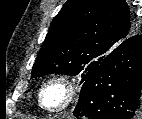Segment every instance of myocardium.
Returning a JSON list of instances; mask_svg holds the SVG:
<instances>
[{"instance_id":"myocardium-1","label":"myocardium","mask_w":142,"mask_h":119,"mask_svg":"<svg viewBox=\"0 0 142 119\" xmlns=\"http://www.w3.org/2000/svg\"><path fill=\"white\" fill-rule=\"evenodd\" d=\"M54 86L61 88L63 97L61 101L56 105H47L44 101L46 92ZM77 95L76 82L66 75H56L48 78V80L42 85L38 93L39 106L48 113H60L68 109L74 102Z\"/></svg>"}]
</instances>
